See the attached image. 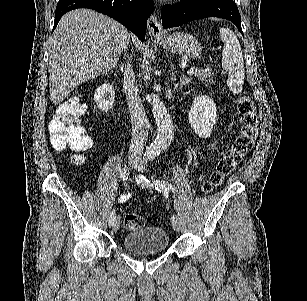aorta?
I'll use <instances>...</instances> for the list:
<instances>
[{
    "label": "aorta",
    "instance_id": "762f6f07",
    "mask_svg": "<svg viewBox=\"0 0 307 301\" xmlns=\"http://www.w3.org/2000/svg\"><path fill=\"white\" fill-rule=\"evenodd\" d=\"M149 100L157 126V136L150 146V151L152 153H161L164 144H168L171 138H173L175 126L159 94L151 92Z\"/></svg>",
    "mask_w": 307,
    "mask_h": 301
}]
</instances>
